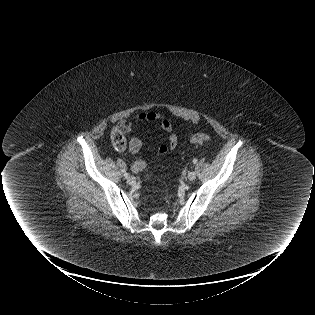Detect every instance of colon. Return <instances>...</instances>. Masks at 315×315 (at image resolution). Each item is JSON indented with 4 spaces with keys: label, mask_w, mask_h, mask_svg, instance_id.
I'll return each mask as SVG.
<instances>
[{
    "label": "colon",
    "mask_w": 315,
    "mask_h": 315,
    "mask_svg": "<svg viewBox=\"0 0 315 315\" xmlns=\"http://www.w3.org/2000/svg\"><path fill=\"white\" fill-rule=\"evenodd\" d=\"M211 140V136L205 133H198L191 136L190 141L194 144H202ZM112 145L118 152H124L126 149V138L121 127L118 125L111 134Z\"/></svg>",
    "instance_id": "obj_1"
}]
</instances>
